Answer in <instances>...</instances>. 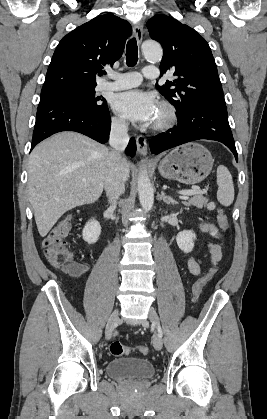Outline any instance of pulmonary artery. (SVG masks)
Segmentation results:
<instances>
[{"label":"pulmonary artery","mask_w":267,"mask_h":419,"mask_svg":"<svg viewBox=\"0 0 267 419\" xmlns=\"http://www.w3.org/2000/svg\"><path fill=\"white\" fill-rule=\"evenodd\" d=\"M143 75L149 79H155L158 77V69L155 66H147L143 69ZM109 77L111 81H105L102 83L101 88L104 90H123L135 87L142 81V75L138 72H127V73H110Z\"/></svg>","instance_id":"pulmonary-artery-1"}]
</instances>
